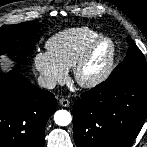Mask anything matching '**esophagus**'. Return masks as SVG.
<instances>
[{
  "instance_id": "34e87169",
  "label": "esophagus",
  "mask_w": 147,
  "mask_h": 147,
  "mask_svg": "<svg viewBox=\"0 0 147 147\" xmlns=\"http://www.w3.org/2000/svg\"><path fill=\"white\" fill-rule=\"evenodd\" d=\"M59 103L63 107H68L70 105V101L68 99H66V98H61L59 100Z\"/></svg>"
}]
</instances>
